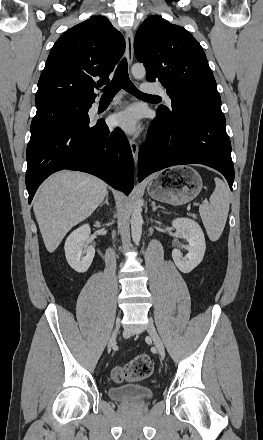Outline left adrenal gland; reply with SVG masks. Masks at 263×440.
<instances>
[{
	"mask_svg": "<svg viewBox=\"0 0 263 440\" xmlns=\"http://www.w3.org/2000/svg\"><path fill=\"white\" fill-rule=\"evenodd\" d=\"M151 205H152V211L155 212L158 208H161L162 210H165L164 207L162 206H156V203L154 201H151Z\"/></svg>",
	"mask_w": 263,
	"mask_h": 440,
	"instance_id": "left-adrenal-gland-1",
	"label": "left adrenal gland"
}]
</instances>
